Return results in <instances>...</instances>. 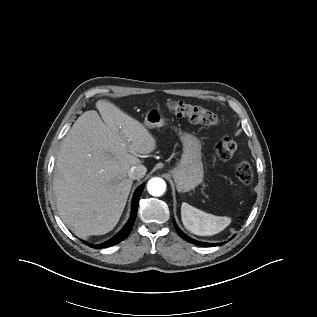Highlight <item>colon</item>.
I'll return each mask as SVG.
<instances>
[{
	"instance_id": "colon-1",
	"label": "colon",
	"mask_w": 317,
	"mask_h": 317,
	"mask_svg": "<svg viewBox=\"0 0 317 317\" xmlns=\"http://www.w3.org/2000/svg\"><path fill=\"white\" fill-rule=\"evenodd\" d=\"M170 112L177 117H187L189 120L215 126L219 123L216 114L198 104H190L184 101H172L169 103ZM236 141L232 137L223 138L215 147V154L219 161H227L232 158L236 150ZM236 176L242 184H249L253 179V168L247 161H240L236 166Z\"/></svg>"
}]
</instances>
